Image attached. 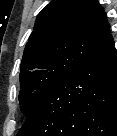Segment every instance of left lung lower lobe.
<instances>
[{"label": "left lung lower lobe", "mask_w": 117, "mask_h": 136, "mask_svg": "<svg viewBox=\"0 0 117 136\" xmlns=\"http://www.w3.org/2000/svg\"><path fill=\"white\" fill-rule=\"evenodd\" d=\"M17 136H117V53L110 34L46 94Z\"/></svg>", "instance_id": "1"}]
</instances>
